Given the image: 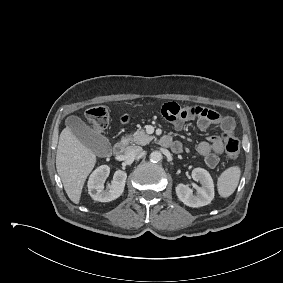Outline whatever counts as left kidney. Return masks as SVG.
Segmentation results:
<instances>
[{
  "label": "left kidney",
  "mask_w": 283,
  "mask_h": 283,
  "mask_svg": "<svg viewBox=\"0 0 283 283\" xmlns=\"http://www.w3.org/2000/svg\"><path fill=\"white\" fill-rule=\"evenodd\" d=\"M192 178L201 184V187L196 188V194H193L189 186L180 183L175 188L177 197L189 207L197 208L208 205L215 196L211 175L203 168H195L192 171Z\"/></svg>",
  "instance_id": "left-kidney-1"
}]
</instances>
